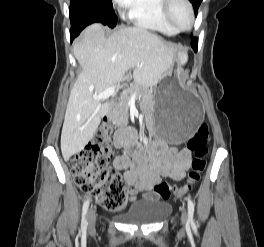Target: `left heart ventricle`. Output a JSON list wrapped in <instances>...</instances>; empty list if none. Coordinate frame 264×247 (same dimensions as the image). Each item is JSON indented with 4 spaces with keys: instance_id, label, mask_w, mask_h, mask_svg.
Listing matches in <instances>:
<instances>
[{
    "instance_id": "1",
    "label": "left heart ventricle",
    "mask_w": 264,
    "mask_h": 247,
    "mask_svg": "<svg viewBox=\"0 0 264 247\" xmlns=\"http://www.w3.org/2000/svg\"><path fill=\"white\" fill-rule=\"evenodd\" d=\"M173 18L180 27H186L190 22V13L187 6L182 2H177L173 7Z\"/></svg>"
}]
</instances>
